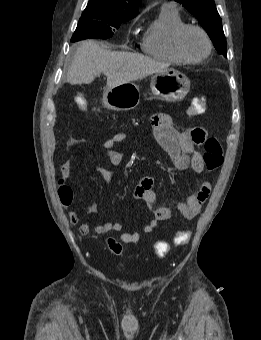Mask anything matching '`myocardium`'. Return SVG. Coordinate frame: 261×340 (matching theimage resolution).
<instances>
[{
    "mask_svg": "<svg viewBox=\"0 0 261 340\" xmlns=\"http://www.w3.org/2000/svg\"><path fill=\"white\" fill-rule=\"evenodd\" d=\"M197 30L199 31L205 38L206 42H207V52L206 54L200 58V59H192L190 57H188L185 52L182 49V39L184 34L188 31V30ZM173 46L174 49L176 51V53L187 63H191V64H198L201 63L203 61H205L211 54L212 49H213V44H212V40L209 36V34L207 33V31L201 27L200 25L197 24H191V23H185L184 25H182L175 33L174 35V40H173Z\"/></svg>",
    "mask_w": 261,
    "mask_h": 340,
    "instance_id": "1",
    "label": "myocardium"
}]
</instances>
